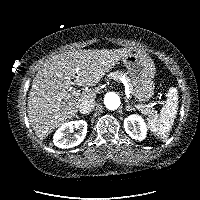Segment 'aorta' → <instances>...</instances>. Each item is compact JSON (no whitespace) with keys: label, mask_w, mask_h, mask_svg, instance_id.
<instances>
[{"label":"aorta","mask_w":200,"mask_h":200,"mask_svg":"<svg viewBox=\"0 0 200 200\" xmlns=\"http://www.w3.org/2000/svg\"><path fill=\"white\" fill-rule=\"evenodd\" d=\"M104 104L109 110H116L121 104V100L118 94L115 92H108L104 96Z\"/></svg>","instance_id":"1"}]
</instances>
